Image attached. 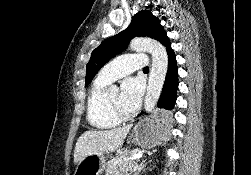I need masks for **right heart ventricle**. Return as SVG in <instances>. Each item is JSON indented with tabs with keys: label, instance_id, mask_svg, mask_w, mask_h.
Instances as JSON below:
<instances>
[{
	"label": "right heart ventricle",
	"instance_id": "e07e8e85",
	"mask_svg": "<svg viewBox=\"0 0 251 175\" xmlns=\"http://www.w3.org/2000/svg\"><path fill=\"white\" fill-rule=\"evenodd\" d=\"M108 83L96 79L86 101V119L89 125L98 130H106L117 125V118L106 107V87Z\"/></svg>",
	"mask_w": 251,
	"mask_h": 175
}]
</instances>
